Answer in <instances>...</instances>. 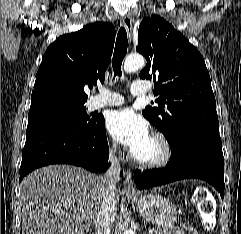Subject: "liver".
Masks as SVG:
<instances>
[{"instance_id":"obj_1","label":"liver","mask_w":241,"mask_h":234,"mask_svg":"<svg viewBox=\"0 0 241 234\" xmlns=\"http://www.w3.org/2000/svg\"><path fill=\"white\" fill-rule=\"evenodd\" d=\"M20 201L22 234H86L102 201L100 177L70 165L43 167L23 179Z\"/></svg>"}]
</instances>
